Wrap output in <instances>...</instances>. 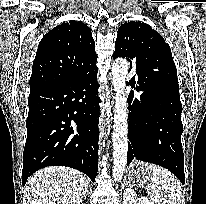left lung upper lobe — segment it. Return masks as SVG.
Wrapping results in <instances>:
<instances>
[{"label": "left lung upper lobe", "mask_w": 206, "mask_h": 204, "mask_svg": "<svg viewBox=\"0 0 206 204\" xmlns=\"http://www.w3.org/2000/svg\"><path fill=\"white\" fill-rule=\"evenodd\" d=\"M118 57H126L133 67H144L147 85L161 82L178 85L176 66L169 45L146 23L128 21L120 26L113 54V58Z\"/></svg>", "instance_id": "5c2ea615"}]
</instances>
